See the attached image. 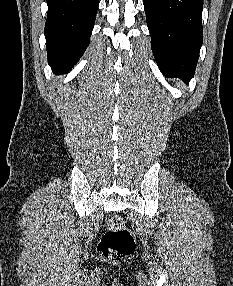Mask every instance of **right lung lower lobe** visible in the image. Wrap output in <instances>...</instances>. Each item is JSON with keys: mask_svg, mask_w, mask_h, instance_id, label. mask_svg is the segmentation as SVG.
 <instances>
[{"mask_svg": "<svg viewBox=\"0 0 233 286\" xmlns=\"http://www.w3.org/2000/svg\"><path fill=\"white\" fill-rule=\"evenodd\" d=\"M45 38L55 74L68 72L86 50L99 0H47Z\"/></svg>", "mask_w": 233, "mask_h": 286, "instance_id": "obj_1", "label": "right lung lower lobe"}]
</instances>
